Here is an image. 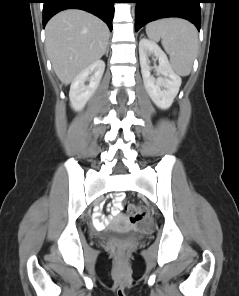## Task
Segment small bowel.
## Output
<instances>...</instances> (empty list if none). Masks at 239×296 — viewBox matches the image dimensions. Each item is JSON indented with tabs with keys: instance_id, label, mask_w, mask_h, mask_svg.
<instances>
[{
	"instance_id": "obj_1",
	"label": "small bowel",
	"mask_w": 239,
	"mask_h": 296,
	"mask_svg": "<svg viewBox=\"0 0 239 296\" xmlns=\"http://www.w3.org/2000/svg\"><path fill=\"white\" fill-rule=\"evenodd\" d=\"M121 199L122 197H117L115 202L109 207V212L112 216H117L119 214Z\"/></svg>"
}]
</instances>
